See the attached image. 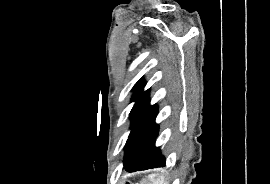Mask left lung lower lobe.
Listing matches in <instances>:
<instances>
[{"mask_svg": "<svg viewBox=\"0 0 270 184\" xmlns=\"http://www.w3.org/2000/svg\"><path fill=\"white\" fill-rule=\"evenodd\" d=\"M155 118L149 123L129 150L124 161V169L136 172L165 166V158L159 148L155 147L158 125Z\"/></svg>", "mask_w": 270, "mask_h": 184, "instance_id": "obj_1", "label": "left lung lower lobe"}]
</instances>
